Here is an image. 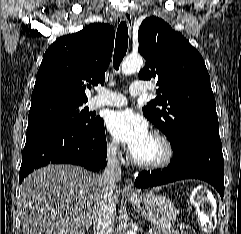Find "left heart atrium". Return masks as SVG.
I'll list each match as a JSON object with an SVG mask.
<instances>
[{
  "label": "left heart atrium",
  "instance_id": "1",
  "mask_svg": "<svg viewBox=\"0 0 241 234\" xmlns=\"http://www.w3.org/2000/svg\"><path fill=\"white\" fill-rule=\"evenodd\" d=\"M109 132L136 152L150 136L146 120L131 110L112 112L107 120Z\"/></svg>",
  "mask_w": 241,
  "mask_h": 234
}]
</instances>
